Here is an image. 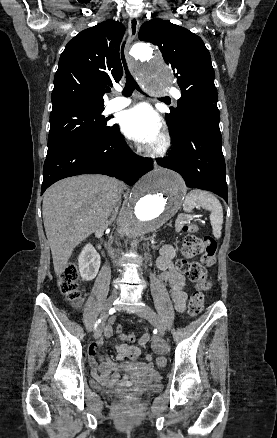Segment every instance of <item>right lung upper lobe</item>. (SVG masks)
Wrapping results in <instances>:
<instances>
[{"label":"right lung upper lobe","mask_w":277,"mask_h":438,"mask_svg":"<svg viewBox=\"0 0 277 438\" xmlns=\"http://www.w3.org/2000/svg\"><path fill=\"white\" fill-rule=\"evenodd\" d=\"M125 27L107 20L68 42L54 78L51 114L104 109L103 95L123 76L119 45Z\"/></svg>","instance_id":"1"}]
</instances>
